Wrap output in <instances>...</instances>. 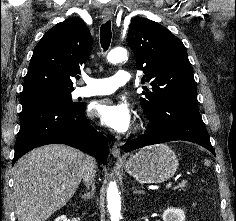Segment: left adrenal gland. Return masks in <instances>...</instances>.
<instances>
[{
	"label": "left adrenal gland",
	"mask_w": 236,
	"mask_h": 221,
	"mask_svg": "<svg viewBox=\"0 0 236 221\" xmlns=\"http://www.w3.org/2000/svg\"><path fill=\"white\" fill-rule=\"evenodd\" d=\"M133 193L134 194H144L143 190H138L136 186H133Z\"/></svg>",
	"instance_id": "obj_1"
}]
</instances>
